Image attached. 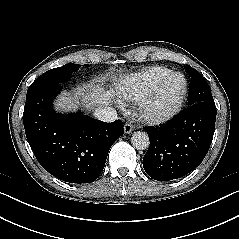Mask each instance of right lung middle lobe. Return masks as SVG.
<instances>
[{
  "instance_id": "obj_1",
  "label": "right lung middle lobe",
  "mask_w": 239,
  "mask_h": 239,
  "mask_svg": "<svg viewBox=\"0 0 239 239\" xmlns=\"http://www.w3.org/2000/svg\"><path fill=\"white\" fill-rule=\"evenodd\" d=\"M79 67L80 65L78 64L68 63L62 67L51 69L37 78L30 85L27 93L38 91L40 89H46L56 84L68 81L71 78L72 72L78 70Z\"/></svg>"
}]
</instances>
